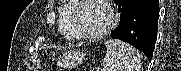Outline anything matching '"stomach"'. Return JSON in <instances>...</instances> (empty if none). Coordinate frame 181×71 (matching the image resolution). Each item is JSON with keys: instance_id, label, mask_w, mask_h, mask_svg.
I'll use <instances>...</instances> for the list:
<instances>
[{"instance_id": "obj_1", "label": "stomach", "mask_w": 181, "mask_h": 71, "mask_svg": "<svg viewBox=\"0 0 181 71\" xmlns=\"http://www.w3.org/2000/svg\"><path fill=\"white\" fill-rule=\"evenodd\" d=\"M82 60H83V55L80 52L73 51L64 54L60 58L59 62L61 67L63 68H72L81 63Z\"/></svg>"}]
</instances>
